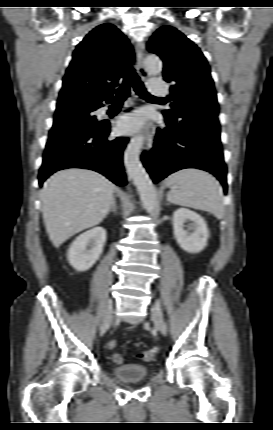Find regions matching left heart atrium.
Listing matches in <instances>:
<instances>
[{"label":"left heart atrium","mask_w":273,"mask_h":430,"mask_svg":"<svg viewBox=\"0 0 273 430\" xmlns=\"http://www.w3.org/2000/svg\"><path fill=\"white\" fill-rule=\"evenodd\" d=\"M146 121V115L138 112L124 117L120 122V130L123 133H132L141 128Z\"/></svg>","instance_id":"1"}]
</instances>
